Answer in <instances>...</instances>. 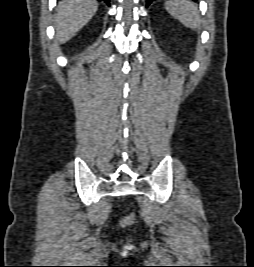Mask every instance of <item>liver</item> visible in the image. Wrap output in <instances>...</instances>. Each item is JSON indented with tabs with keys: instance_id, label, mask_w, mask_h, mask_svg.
I'll list each match as a JSON object with an SVG mask.
<instances>
[{
	"instance_id": "1",
	"label": "liver",
	"mask_w": 254,
	"mask_h": 267,
	"mask_svg": "<svg viewBox=\"0 0 254 267\" xmlns=\"http://www.w3.org/2000/svg\"><path fill=\"white\" fill-rule=\"evenodd\" d=\"M98 3L95 0H63L55 17L56 41H69L95 15Z\"/></svg>"
}]
</instances>
